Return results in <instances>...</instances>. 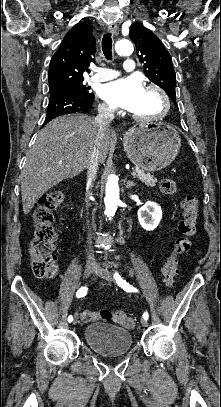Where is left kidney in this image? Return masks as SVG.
Masks as SVG:
<instances>
[{"mask_svg":"<svg viewBox=\"0 0 221 407\" xmlns=\"http://www.w3.org/2000/svg\"><path fill=\"white\" fill-rule=\"evenodd\" d=\"M138 220L146 231L154 230L162 219L161 207L152 201H148L138 210Z\"/></svg>","mask_w":221,"mask_h":407,"instance_id":"5707ae66","label":"left kidney"}]
</instances>
